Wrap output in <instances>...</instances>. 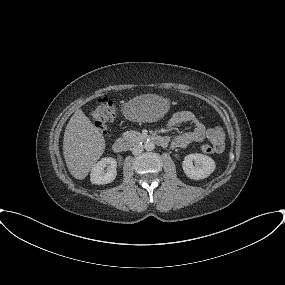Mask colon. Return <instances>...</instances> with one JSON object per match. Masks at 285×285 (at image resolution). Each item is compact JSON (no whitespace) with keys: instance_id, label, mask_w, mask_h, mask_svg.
I'll return each instance as SVG.
<instances>
[{"instance_id":"colon-1","label":"colon","mask_w":285,"mask_h":285,"mask_svg":"<svg viewBox=\"0 0 285 285\" xmlns=\"http://www.w3.org/2000/svg\"><path fill=\"white\" fill-rule=\"evenodd\" d=\"M95 126L104 132L115 116L116 110L109 97L98 98L93 105L91 112ZM209 144L202 146L204 153L221 152L225 145V132L222 127L215 126L208 131Z\"/></svg>"}]
</instances>
